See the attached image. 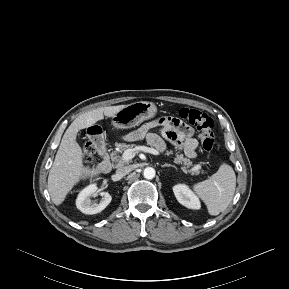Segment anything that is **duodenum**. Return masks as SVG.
<instances>
[{"label": "duodenum", "mask_w": 289, "mask_h": 289, "mask_svg": "<svg viewBox=\"0 0 289 289\" xmlns=\"http://www.w3.org/2000/svg\"><path fill=\"white\" fill-rule=\"evenodd\" d=\"M99 154L101 156V161L97 164V170L100 173H107L112 169V162L110 154L104 145L99 146Z\"/></svg>", "instance_id": "1"}]
</instances>
